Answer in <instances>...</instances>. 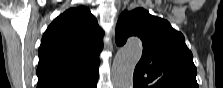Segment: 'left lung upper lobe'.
I'll return each instance as SVG.
<instances>
[{"label":"left lung upper lobe","instance_id":"obj_1","mask_svg":"<svg viewBox=\"0 0 223 88\" xmlns=\"http://www.w3.org/2000/svg\"><path fill=\"white\" fill-rule=\"evenodd\" d=\"M129 36H138L143 43L133 76L138 88H199L192 52L183 34L168 21L143 8L124 11L116 27L117 45H123Z\"/></svg>","mask_w":223,"mask_h":88}]
</instances>
